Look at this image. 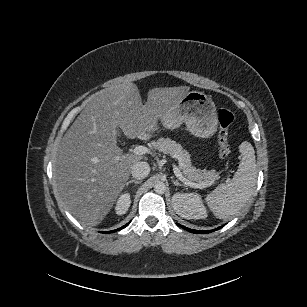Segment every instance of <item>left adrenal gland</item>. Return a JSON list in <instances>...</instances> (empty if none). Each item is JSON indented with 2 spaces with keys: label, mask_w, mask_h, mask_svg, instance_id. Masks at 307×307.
Returning a JSON list of instances; mask_svg holds the SVG:
<instances>
[{
  "label": "left adrenal gland",
  "mask_w": 307,
  "mask_h": 307,
  "mask_svg": "<svg viewBox=\"0 0 307 307\" xmlns=\"http://www.w3.org/2000/svg\"><path fill=\"white\" fill-rule=\"evenodd\" d=\"M172 182H173V184H174L175 186H184V187H186L185 184L180 183L178 180H172Z\"/></svg>",
  "instance_id": "a2214340"
}]
</instances>
